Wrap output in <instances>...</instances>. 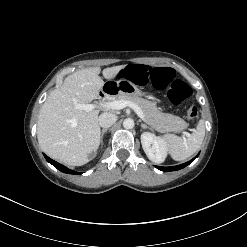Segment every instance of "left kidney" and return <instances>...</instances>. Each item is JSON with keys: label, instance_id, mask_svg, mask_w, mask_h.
Segmentation results:
<instances>
[{"label": "left kidney", "instance_id": "5707ae66", "mask_svg": "<svg viewBox=\"0 0 247 247\" xmlns=\"http://www.w3.org/2000/svg\"><path fill=\"white\" fill-rule=\"evenodd\" d=\"M141 144L149 160L162 163L167 157V144L163 137L154 133L144 132L141 134Z\"/></svg>", "mask_w": 247, "mask_h": 247}]
</instances>
